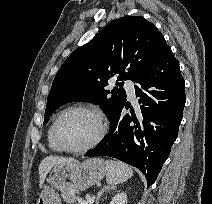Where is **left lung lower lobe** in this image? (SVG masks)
Returning <instances> with one entry per match:
<instances>
[{
    "label": "left lung lower lobe",
    "mask_w": 212,
    "mask_h": 204,
    "mask_svg": "<svg viewBox=\"0 0 212 204\" xmlns=\"http://www.w3.org/2000/svg\"><path fill=\"white\" fill-rule=\"evenodd\" d=\"M135 82L140 112L136 116L131 107V114H124L129 104L119 106L109 116L110 133L86 156L106 155L137 167L150 187L177 138L186 101L185 81L168 48ZM153 87L160 91L150 90Z\"/></svg>",
    "instance_id": "left-lung-lower-lobe-1"
}]
</instances>
